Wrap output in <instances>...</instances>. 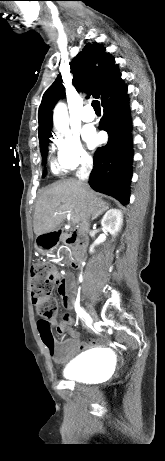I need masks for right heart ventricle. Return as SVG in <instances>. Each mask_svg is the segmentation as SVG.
<instances>
[{
    "instance_id": "obj_1",
    "label": "right heart ventricle",
    "mask_w": 165,
    "mask_h": 461,
    "mask_svg": "<svg viewBox=\"0 0 165 461\" xmlns=\"http://www.w3.org/2000/svg\"><path fill=\"white\" fill-rule=\"evenodd\" d=\"M60 167V166H59ZM59 167L55 164V163H52L51 164V169L54 173H57L59 172Z\"/></svg>"
}]
</instances>
